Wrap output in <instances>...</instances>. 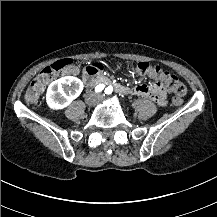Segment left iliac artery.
<instances>
[{
    "instance_id": "left-iliac-artery-1",
    "label": "left iliac artery",
    "mask_w": 217,
    "mask_h": 217,
    "mask_svg": "<svg viewBox=\"0 0 217 217\" xmlns=\"http://www.w3.org/2000/svg\"><path fill=\"white\" fill-rule=\"evenodd\" d=\"M113 90H111L110 92L108 90L105 91L106 94H111Z\"/></svg>"
}]
</instances>
